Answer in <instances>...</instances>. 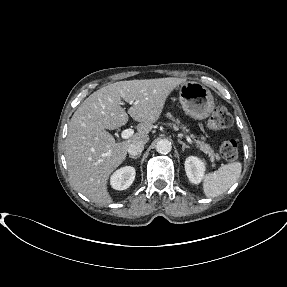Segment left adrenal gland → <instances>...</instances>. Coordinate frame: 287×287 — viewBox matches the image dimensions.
Instances as JSON below:
<instances>
[{
    "mask_svg": "<svg viewBox=\"0 0 287 287\" xmlns=\"http://www.w3.org/2000/svg\"><path fill=\"white\" fill-rule=\"evenodd\" d=\"M178 142L182 145V151H185L186 148H190L188 145H186L183 141L178 140Z\"/></svg>",
    "mask_w": 287,
    "mask_h": 287,
    "instance_id": "obj_1",
    "label": "left adrenal gland"
}]
</instances>
